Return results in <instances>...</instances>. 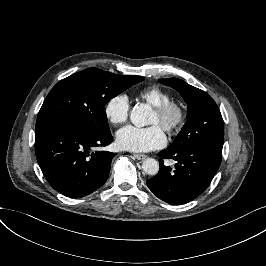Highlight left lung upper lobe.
Instances as JSON below:
<instances>
[{
    "label": "left lung upper lobe",
    "instance_id": "1",
    "mask_svg": "<svg viewBox=\"0 0 266 266\" xmlns=\"http://www.w3.org/2000/svg\"><path fill=\"white\" fill-rule=\"evenodd\" d=\"M160 83L176 89L188 104L187 122L168 147L178 150L198 142L223 145V119L215 101L204 91L181 79H159Z\"/></svg>",
    "mask_w": 266,
    "mask_h": 266
}]
</instances>
